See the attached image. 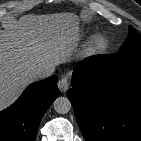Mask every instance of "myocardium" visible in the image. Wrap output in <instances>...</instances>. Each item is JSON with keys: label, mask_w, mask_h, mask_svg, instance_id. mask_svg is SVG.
Returning a JSON list of instances; mask_svg holds the SVG:
<instances>
[{"label": "myocardium", "mask_w": 141, "mask_h": 141, "mask_svg": "<svg viewBox=\"0 0 141 141\" xmlns=\"http://www.w3.org/2000/svg\"><path fill=\"white\" fill-rule=\"evenodd\" d=\"M108 38L102 34H96L91 37L85 48L86 56H96L103 53L108 47Z\"/></svg>", "instance_id": "f54148a6"}]
</instances>
